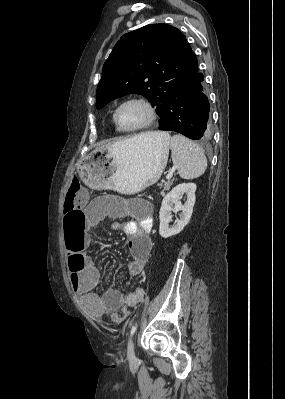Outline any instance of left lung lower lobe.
I'll return each instance as SVG.
<instances>
[{"label": "left lung lower lobe", "instance_id": "obj_1", "mask_svg": "<svg viewBox=\"0 0 285 399\" xmlns=\"http://www.w3.org/2000/svg\"><path fill=\"white\" fill-rule=\"evenodd\" d=\"M203 75L197 68L183 79L170 97L167 116L160 130L175 131L193 140L211 137L210 104L205 94Z\"/></svg>", "mask_w": 285, "mask_h": 399}]
</instances>
